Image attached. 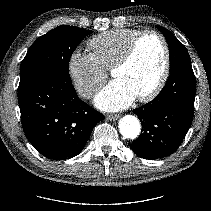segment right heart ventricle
Wrapping results in <instances>:
<instances>
[{"label":"right heart ventricle","mask_w":211,"mask_h":211,"mask_svg":"<svg viewBox=\"0 0 211 211\" xmlns=\"http://www.w3.org/2000/svg\"><path fill=\"white\" fill-rule=\"evenodd\" d=\"M141 30L134 28L112 29L94 36L88 43L98 64L111 69Z\"/></svg>","instance_id":"e07e8e85"}]
</instances>
